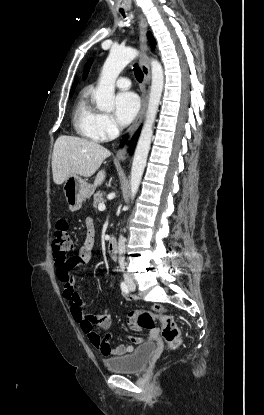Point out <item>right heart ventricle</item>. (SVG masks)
Segmentation results:
<instances>
[{"mask_svg": "<svg viewBox=\"0 0 264 415\" xmlns=\"http://www.w3.org/2000/svg\"><path fill=\"white\" fill-rule=\"evenodd\" d=\"M101 113L93 106L89 92H84L78 99L73 111V126L81 137L101 142L106 138L100 125Z\"/></svg>", "mask_w": 264, "mask_h": 415, "instance_id": "e07e8e85", "label": "right heart ventricle"}]
</instances>
